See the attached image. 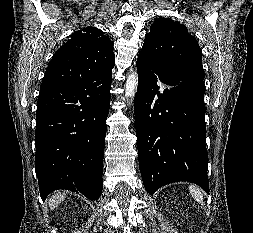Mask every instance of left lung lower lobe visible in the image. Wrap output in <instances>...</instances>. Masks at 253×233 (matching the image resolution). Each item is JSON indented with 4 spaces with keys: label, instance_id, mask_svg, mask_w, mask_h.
I'll use <instances>...</instances> for the list:
<instances>
[{
    "label": "left lung lower lobe",
    "instance_id": "left-lung-lower-lobe-1",
    "mask_svg": "<svg viewBox=\"0 0 253 233\" xmlns=\"http://www.w3.org/2000/svg\"><path fill=\"white\" fill-rule=\"evenodd\" d=\"M134 112L139 168L146 191L188 181L209 193L205 146L203 77L174 80L162 75L143 54L137 58Z\"/></svg>",
    "mask_w": 253,
    "mask_h": 233
}]
</instances>
